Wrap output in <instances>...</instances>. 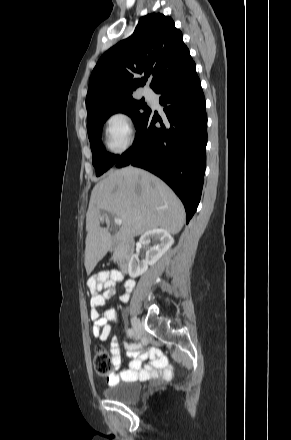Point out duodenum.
<instances>
[{
  "mask_svg": "<svg viewBox=\"0 0 291 440\" xmlns=\"http://www.w3.org/2000/svg\"><path fill=\"white\" fill-rule=\"evenodd\" d=\"M111 242V247H119L118 263L122 271H127L131 266L135 243L132 239L111 234L107 238Z\"/></svg>",
  "mask_w": 291,
  "mask_h": 440,
  "instance_id": "duodenum-1",
  "label": "duodenum"
}]
</instances>
